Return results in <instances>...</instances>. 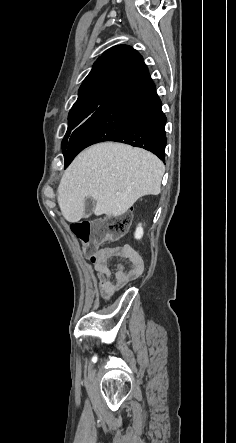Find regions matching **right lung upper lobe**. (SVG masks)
I'll list each match as a JSON object with an SVG mask.
<instances>
[{"instance_id":"cb5924a9","label":"right lung upper lobe","mask_w":236,"mask_h":443,"mask_svg":"<svg viewBox=\"0 0 236 443\" xmlns=\"http://www.w3.org/2000/svg\"><path fill=\"white\" fill-rule=\"evenodd\" d=\"M147 72L142 56L135 49L128 45L114 46L96 60L80 86L74 105L97 96L120 92L132 86Z\"/></svg>"}]
</instances>
